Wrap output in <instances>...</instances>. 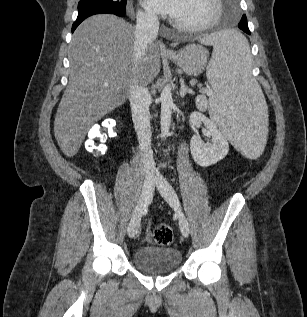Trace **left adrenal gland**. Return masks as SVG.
Returning a JSON list of instances; mask_svg holds the SVG:
<instances>
[{"instance_id":"1","label":"left adrenal gland","mask_w":307,"mask_h":317,"mask_svg":"<svg viewBox=\"0 0 307 317\" xmlns=\"http://www.w3.org/2000/svg\"><path fill=\"white\" fill-rule=\"evenodd\" d=\"M180 84H181V86H180L179 92H180L181 98H184L187 94L194 95L193 90L190 87L186 86L183 79L180 80Z\"/></svg>"}]
</instances>
